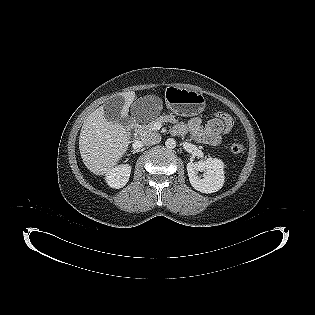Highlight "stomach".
I'll return each instance as SVG.
<instances>
[{
  "instance_id": "0dacf381",
  "label": "stomach",
  "mask_w": 315,
  "mask_h": 315,
  "mask_svg": "<svg viewBox=\"0 0 315 315\" xmlns=\"http://www.w3.org/2000/svg\"><path fill=\"white\" fill-rule=\"evenodd\" d=\"M165 103L174 114L191 117L199 115L205 108V97L197 91L169 86L165 92Z\"/></svg>"
}]
</instances>
